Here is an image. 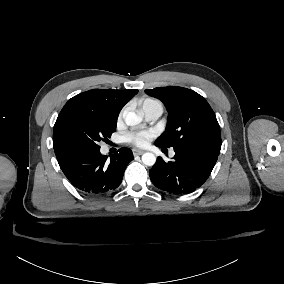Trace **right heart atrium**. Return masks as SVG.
<instances>
[{
    "mask_svg": "<svg viewBox=\"0 0 284 284\" xmlns=\"http://www.w3.org/2000/svg\"><path fill=\"white\" fill-rule=\"evenodd\" d=\"M124 110L121 111L120 113V118L123 116Z\"/></svg>",
    "mask_w": 284,
    "mask_h": 284,
    "instance_id": "1",
    "label": "right heart atrium"
}]
</instances>
